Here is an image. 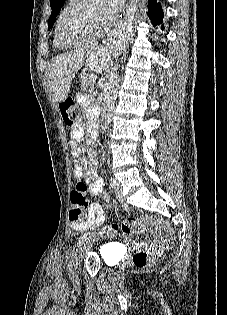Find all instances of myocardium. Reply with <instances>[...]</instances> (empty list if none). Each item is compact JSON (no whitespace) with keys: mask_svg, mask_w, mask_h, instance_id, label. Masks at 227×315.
I'll list each match as a JSON object with an SVG mask.
<instances>
[{"mask_svg":"<svg viewBox=\"0 0 227 315\" xmlns=\"http://www.w3.org/2000/svg\"><path fill=\"white\" fill-rule=\"evenodd\" d=\"M90 0H76V2L65 12V14L62 16V18L59 20V22L56 25L55 34L57 37L58 42L60 45L64 47H75L78 45H81L87 41L94 40L98 37H100L106 30L107 25H105L103 28H101L99 31L87 34L83 36L79 40H69L63 35V28L64 26L73 18L75 17L79 11L89 2Z\"/></svg>","mask_w":227,"mask_h":315,"instance_id":"f54148a6","label":"myocardium"}]
</instances>
